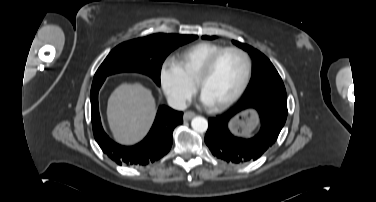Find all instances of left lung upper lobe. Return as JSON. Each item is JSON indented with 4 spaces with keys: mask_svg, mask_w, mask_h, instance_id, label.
<instances>
[{
    "mask_svg": "<svg viewBox=\"0 0 376 202\" xmlns=\"http://www.w3.org/2000/svg\"><path fill=\"white\" fill-rule=\"evenodd\" d=\"M202 38L212 40L216 37L202 36ZM233 43L246 50L254 60L252 78L242 100L259 95H270L279 99L287 100L283 81L270 60L260 51L247 44L234 40Z\"/></svg>",
    "mask_w": 376,
    "mask_h": 202,
    "instance_id": "left-lung-upper-lobe-1",
    "label": "left lung upper lobe"
}]
</instances>
